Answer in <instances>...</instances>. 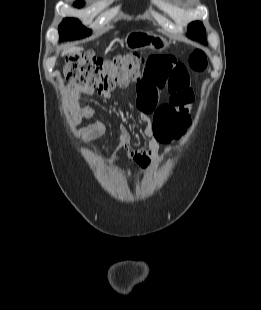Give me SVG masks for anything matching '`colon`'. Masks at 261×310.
Masks as SVG:
<instances>
[{
  "instance_id": "colon-1",
  "label": "colon",
  "mask_w": 261,
  "mask_h": 310,
  "mask_svg": "<svg viewBox=\"0 0 261 310\" xmlns=\"http://www.w3.org/2000/svg\"><path fill=\"white\" fill-rule=\"evenodd\" d=\"M146 62V59L134 53L111 59H102L92 53H75L66 58L63 77L72 84L89 86L99 93L109 92L134 82L140 84V69ZM189 66L196 72L205 71L208 67L206 53L199 49L193 51Z\"/></svg>"
}]
</instances>
